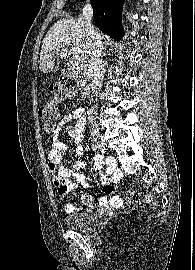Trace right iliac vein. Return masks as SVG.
<instances>
[{
    "instance_id": "63e3f726",
    "label": "right iliac vein",
    "mask_w": 195,
    "mask_h": 270,
    "mask_svg": "<svg viewBox=\"0 0 195 270\" xmlns=\"http://www.w3.org/2000/svg\"><path fill=\"white\" fill-rule=\"evenodd\" d=\"M93 140L95 142V145L99 148L101 153H105V146H104V141L98 131H94L92 133Z\"/></svg>"
}]
</instances>
